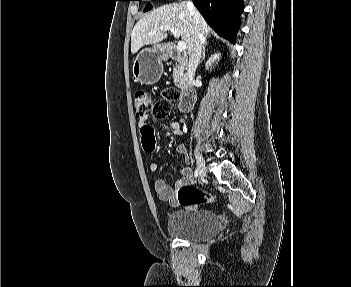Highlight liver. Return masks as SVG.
I'll return each instance as SVG.
<instances>
[{"label": "liver", "instance_id": "6515ba94", "mask_svg": "<svg viewBox=\"0 0 351 287\" xmlns=\"http://www.w3.org/2000/svg\"><path fill=\"white\" fill-rule=\"evenodd\" d=\"M164 26L179 31L189 55L195 44L197 28L202 30L204 37L210 33V27L203 17L200 16L199 25H196L185 2L167 4L148 13L136 23L131 33V52L135 54L145 45L158 44L166 39V31L159 30Z\"/></svg>", "mask_w": 351, "mask_h": 287}]
</instances>
